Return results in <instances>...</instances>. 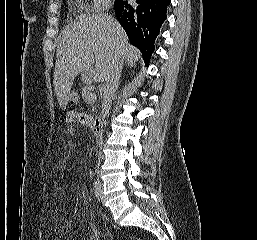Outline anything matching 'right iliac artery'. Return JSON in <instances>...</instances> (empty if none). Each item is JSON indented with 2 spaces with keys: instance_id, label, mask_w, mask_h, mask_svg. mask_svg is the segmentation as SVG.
I'll list each match as a JSON object with an SVG mask.
<instances>
[{
  "instance_id": "82829eb1",
  "label": "right iliac artery",
  "mask_w": 257,
  "mask_h": 240,
  "mask_svg": "<svg viewBox=\"0 0 257 240\" xmlns=\"http://www.w3.org/2000/svg\"><path fill=\"white\" fill-rule=\"evenodd\" d=\"M94 193L98 201L101 199L102 192L100 190L99 184L97 181L94 183Z\"/></svg>"
}]
</instances>
